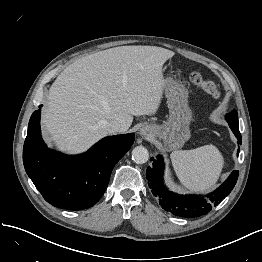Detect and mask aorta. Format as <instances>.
Instances as JSON below:
<instances>
[{
	"label": "aorta",
	"instance_id": "762f6f07",
	"mask_svg": "<svg viewBox=\"0 0 262 262\" xmlns=\"http://www.w3.org/2000/svg\"><path fill=\"white\" fill-rule=\"evenodd\" d=\"M149 152L144 146H136L132 150V160L137 164H143L148 161Z\"/></svg>",
	"mask_w": 262,
	"mask_h": 262
}]
</instances>
